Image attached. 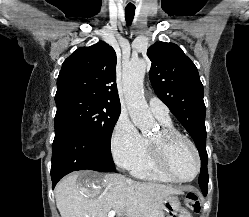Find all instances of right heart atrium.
Segmentation results:
<instances>
[{"mask_svg": "<svg viewBox=\"0 0 249 217\" xmlns=\"http://www.w3.org/2000/svg\"><path fill=\"white\" fill-rule=\"evenodd\" d=\"M145 146L140 135L128 116L121 114L112 130L111 150L115 162L122 168H130Z\"/></svg>", "mask_w": 249, "mask_h": 217, "instance_id": "right-heart-atrium-1", "label": "right heart atrium"}]
</instances>
